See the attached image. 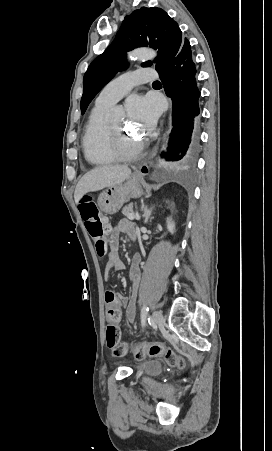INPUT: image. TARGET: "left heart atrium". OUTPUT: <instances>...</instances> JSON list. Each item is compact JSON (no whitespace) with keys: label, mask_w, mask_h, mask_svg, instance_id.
Wrapping results in <instances>:
<instances>
[{"label":"left heart atrium","mask_w":272,"mask_h":451,"mask_svg":"<svg viewBox=\"0 0 272 451\" xmlns=\"http://www.w3.org/2000/svg\"><path fill=\"white\" fill-rule=\"evenodd\" d=\"M129 122L140 133L149 132L155 125L158 108L149 97H131L126 105Z\"/></svg>","instance_id":"obj_1"}]
</instances>
